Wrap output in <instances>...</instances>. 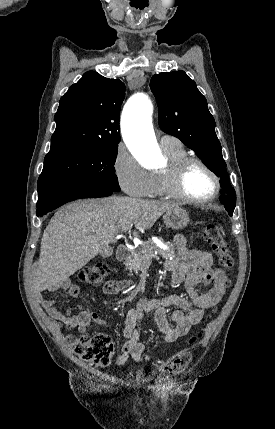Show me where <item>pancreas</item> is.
Instances as JSON below:
<instances>
[{
	"label": "pancreas",
	"mask_w": 275,
	"mask_h": 429,
	"mask_svg": "<svg viewBox=\"0 0 275 429\" xmlns=\"http://www.w3.org/2000/svg\"><path fill=\"white\" fill-rule=\"evenodd\" d=\"M165 245L167 248L161 249L152 240L145 241L140 248L132 253L126 263V266L129 267V269L134 270L136 273L139 270L147 269L151 265L152 259L155 257V251L165 259L174 257L175 249L173 245L171 243H166Z\"/></svg>",
	"instance_id": "1"
}]
</instances>
